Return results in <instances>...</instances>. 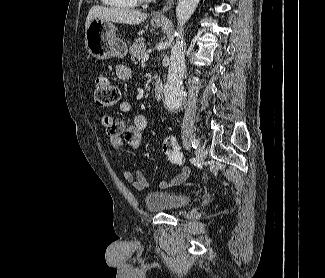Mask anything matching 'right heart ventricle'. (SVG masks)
Returning <instances> with one entry per match:
<instances>
[{
    "instance_id": "obj_1",
    "label": "right heart ventricle",
    "mask_w": 325,
    "mask_h": 278,
    "mask_svg": "<svg viewBox=\"0 0 325 278\" xmlns=\"http://www.w3.org/2000/svg\"><path fill=\"white\" fill-rule=\"evenodd\" d=\"M101 2L106 6L117 9H131L138 4V0H101Z\"/></svg>"
}]
</instances>
